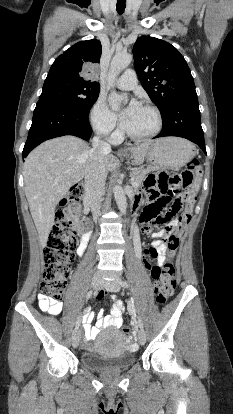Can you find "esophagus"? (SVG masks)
Returning a JSON list of instances; mask_svg holds the SVG:
<instances>
[{
	"label": "esophagus",
	"instance_id": "34e87169",
	"mask_svg": "<svg viewBox=\"0 0 233 414\" xmlns=\"http://www.w3.org/2000/svg\"><path fill=\"white\" fill-rule=\"evenodd\" d=\"M123 153H124V151L122 149L118 150V154H123Z\"/></svg>",
	"mask_w": 233,
	"mask_h": 414
}]
</instances>
